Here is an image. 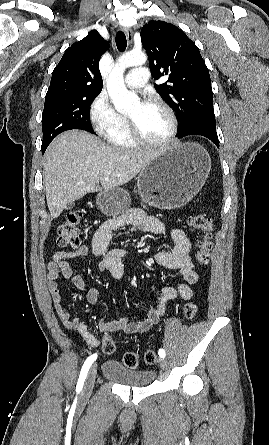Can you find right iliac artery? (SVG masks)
<instances>
[{"label":"right iliac artery","instance_id":"1","mask_svg":"<svg viewBox=\"0 0 269 445\" xmlns=\"http://www.w3.org/2000/svg\"><path fill=\"white\" fill-rule=\"evenodd\" d=\"M96 358H97V354L95 353V354L91 355L90 357H88L87 360L85 361V363L83 364V367L81 369L79 379L77 382V386H76V391L78 393L82 390L87 373H88L92 363L96 360Z\"/></svg>","mask_w":269,"mask_h":445}]
</instances>
